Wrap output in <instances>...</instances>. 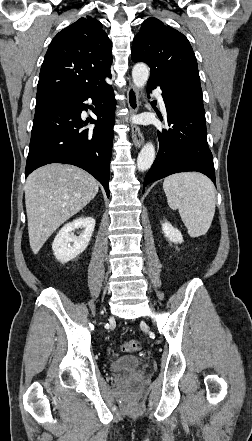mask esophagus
Wrapping results in <instances>:
<instances>
[{
  "label": "esophagus",
  "instance_id": "obj_1",
  "mask_svg": "<svg viewBox=\"0 0 252 441\" xmlns=\"http://www.w3.org/2000/svg\"><path fill=\"white\" fill-rule=\"evenodd\" d=\"M127 103L129 107L130 114L135 115L140 107L139 93L133 84H130L126 91ZM132 141L135 147L140 148L144 142V135L141 128L133 123L132 124Z\"/></svg>",
  "mask_w": 252,
  "mask_h": 441
}]
</instances>
